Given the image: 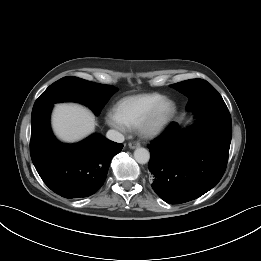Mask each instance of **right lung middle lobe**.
I'll return each mask as SVG.
<instances>
[{"instance_id":"1","label":"right lung middle lobe","mask_w":261,"mask_h":261,"mask_svg":"<svg viewBox=\"0 0 261 261\" xmlns=\"http://www.w3.org/2000/svg\"><path fill=\"white\" fill-rule=\"evenodd\" d=\"M118 89L77 77H64L50 85L36 100L32 113L40 108L63 101H75L88 106L99 115L110 97Z\"/></svg>"}]
</instances>
